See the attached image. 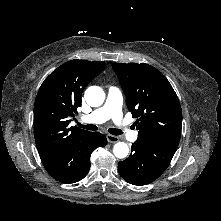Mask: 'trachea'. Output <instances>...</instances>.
Returning a JSON list of instances; mask_svg holds the SVG:
<instances>
[{
    "mask_svg": "<svg viewBox=\"0 0 221 221\" xmlns=\"http://www.w3.org/2000/svg\"><path fill=\"white\" fill-rule=\"evenodd\" d=\"M78 126L80 128L91 130V131L98 130V127L95 125H92V124L82 125V124L78 123ZM108 131L113 135H121L122 134L121 130L116 129V128H110V129H108Z\"/></svg>",
    "mask_w": 221,
    "mask_h": 221,
    "instance_id": "1",
    "label": "trachea"
}]
</instances>
